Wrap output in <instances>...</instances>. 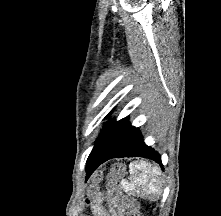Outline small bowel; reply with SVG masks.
I'll return each mask as SVG.
<instances>
[{
	"mask_svg": "<svg viewBox=\"0 0 221 216\" xmlns=\"http://www.w3.org/2000/svg\"><path fill=\"white\" fill-rule=\"evenodd\" d=\"M108 205V210H105L103 207V203ZM93 212L96 216H122L115 202L105 194L101 196L94 204H93Z\"/></svg>",
	"mask_w": 221,
	"mask_h": 216,
	"instance_id": "c3829d8e",
	"label": "small bowel"
}]
</instances>
